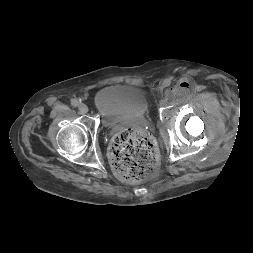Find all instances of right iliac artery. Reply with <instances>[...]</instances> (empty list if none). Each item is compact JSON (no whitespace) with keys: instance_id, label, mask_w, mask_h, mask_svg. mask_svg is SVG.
Segmentation results:
<instances>
[{"instance_id":"obj_1","label":"right iliac artery","mask_w":253,"mask_h":253,"mask_svg":"<svg viewBox=\"0 0 253 253\" xmlns=\"http://www.w3.org/2000/svg\"><path fill=\"white\" fill-rule=\"evenodd\" d=\"M71 105L74 106V107H77L79 105V101L76 100V99H72L71 100Z\"/></svg>"}]
</instances>
